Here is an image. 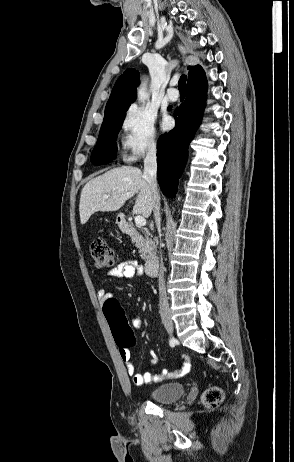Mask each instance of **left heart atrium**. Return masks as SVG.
Listing matches in <instances>:
<instances>
[{"instance_id":"39dd6f15","label":"left heart atrium","mask_w":294,"mask_h":462,"mask_svg":"<svg viewBox=\"0 0 294 462\" xmlns=\"http://www.w3.org/2000/svg\"><path fill=\"white\" fill-rule=\"evenodd\" d=\"M171 125V120L169 117H164L162 120V128L163 129H168Z\"/></svg>"}]
</instances>
